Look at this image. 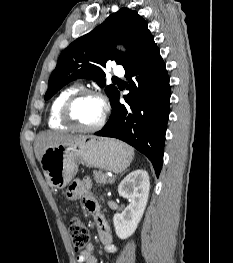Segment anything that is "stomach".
<instances>
[{"label": "stomach", "mask_w": 233, "mask_h": 263, "mask_svg": "<svg viewBox=\"0 0 233 263\" xmlns=\"http://www.w3.org/2000/svg\"><path fill=\"white\" fill-rule=\"evenodd\" d=\"M133 156L132 149L119 140L82 135L47 148L40 164L49 186L63 189L75 177L80 163L121 173Z\"/></svg>", "instance_id": "1"}]
</instances>
